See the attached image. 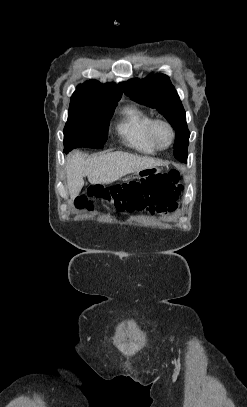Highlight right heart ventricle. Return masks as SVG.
Masks as SVG:
<instances>
[{
  "mask_svg": "<svg viewBox=\"0 0 247 407\" xmlns=\"http://www.w3.org/2000/svg\"><path fill=\"white\" fill-rule=\"evenodd\" d=\"M122 114L117 129L125 143L138 152L154 154L157 148L150 137L153 117L135 106L125 108Z\"/></svg>",
  "mask_w": 247,
  "mask_h": 407,
  "instance_id": "e07e8e85",
  "label": "right heart ventricle"
}]
</instances>
